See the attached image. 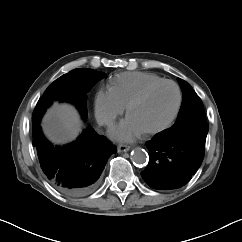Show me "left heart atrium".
<instances>
[{
  "instance_id": "obj_1",
  "label": "left heart atrium",
  "mask_w": 242,
  "mask_h": 242,
  "mask_svg": "<svg viewBox=\"0 0 242 242\" xmlns=\"http://www.w3.org/2000/svg\"><path fill=\"white\" fill-rule=\"evenodd\" d=\"M143 131L135 124L130 118H126L118 125L114 126L110 130V134L113 138L121 141H130L139 136Z\"/></svg>"
}]
</instances>
